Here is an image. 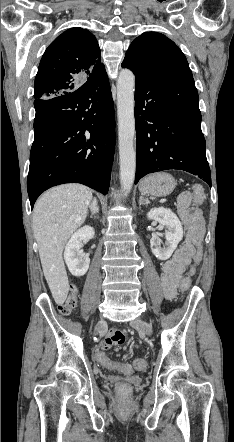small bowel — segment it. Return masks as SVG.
Masks as SVG:
<instances>
[{"label":"small bowel","instance_id":"small-bowel-1","mask_svg":"<svg viewBox=\"0 0 234 442\" xmlns=\"http://www.w3.org/2000/svg\"><path fill=\"white\" fill-rule=\"evenodd\" d=\"M177 211L184 223L188 241L178 248L170 259L163 263L161 280L164 295L167 299L175 297L177 286L185 272L190 275L195 273L197 268L195 263H198V261L195 260L192 243H199L204 226L203 211L192 202L190 193H183L178 198ZM124 340L125 335L122 332L111 330L100 348L108 351L111 346L121 344ZM136 347H139V344H136Z\"/></svg>","mask_w":234,"mask_h":442}]
</instances>
